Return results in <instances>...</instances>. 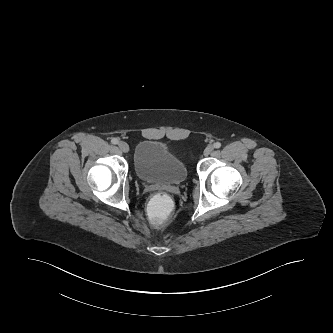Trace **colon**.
Segmentation results:
<instances>
[{
    "mask_svg": "<svg viewBox=\"0 0 333 333\" xmlns=\"http://www.w3.org/2000/svg\"><path fill=\"white\" fill-rule=\"evenodd\" d=\"M175 198L166 192H157L148 204L147 212L151 222L158 227L166 226L171 219V212L175 209Z\"/></svg>",
    "mask_w": 333,
    "mask_h": 333,
    "instance_id": "colon-1",
    "label": "colon"
}]
</instances>
